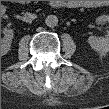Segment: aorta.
<instances>
[{"mask_svg": "<svg viewBox=\"0 0 109 109\" xmlns=\"http://www.w3.org/2000/svg\"><path fill=\"white\" fill-rule=\"evenodd\" d=\"M45 23L48 27H55L58 24V18L55 15H48L45 19Z\"/></svg>", "mask_w": 109, "mask_h": 109, "instance_id": "obj_1", "label": "aorta"}]
</instances>
